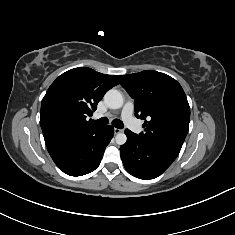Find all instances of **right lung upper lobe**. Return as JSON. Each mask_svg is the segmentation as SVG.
Wrapping results in <instances>:
<instances>
[{
	"mask_svg": "<svg viewBox=\"0 0 235 235\" xmlns=\"http://www.w3.org/2000/svg\"><path fill=\"white\" fill-rule=\"evenodd\" d=\"M119 84L116 75L74 68L60 75L41 103L40 125L47 147L100 128L86 120L104 94Z\"/></svg>",
	"mask_w": 235,
	"mask_h": 235,
	"instance_id": "1",
	"label": "right lung upper lobe"
}]
</instances>
